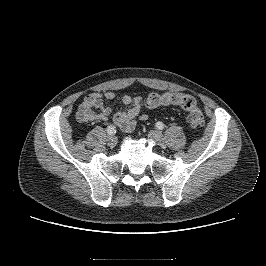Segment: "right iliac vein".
<instances>
[{"label": "right iliac vein", "instance_id": "obj_1", "mask_svg": "<svg viewBox=\"0 0 266 266\" xmlns=\"http://www.w3.org/2000/svg\"><path fill=\"white\" fill-rule=\"evenodd\" d=\"M117 137L114 135H111L107 138V143L110 147H115L117 145Z\"/></svg>", "mask_w": 266, "mask_h": 266}]
</instances>
